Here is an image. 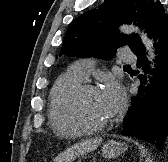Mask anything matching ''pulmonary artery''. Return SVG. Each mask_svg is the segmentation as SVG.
<instances>
[{
  "mask_svg": "<svg viewBox=\"0 0 168 162\" xmlns=\"http://www.w3.org/2000/svg\"><path fill=\"white\" fill-rule=\"evenodd\" d=\"M135 60L130 53L123 52L120 54V61L130 63ZM95 60L91 58H83L76 61L70 68L79 79L85 81L88 77L89 71L94 67Z\"/></svg>",
  "mask_w": 168,
  "mask_h": 162,
  "instance_id": "pulmonary-artery-1",
  "label": "pulmonary artery"
}]
</instances>
